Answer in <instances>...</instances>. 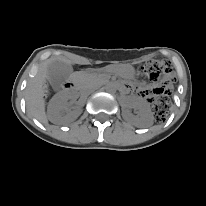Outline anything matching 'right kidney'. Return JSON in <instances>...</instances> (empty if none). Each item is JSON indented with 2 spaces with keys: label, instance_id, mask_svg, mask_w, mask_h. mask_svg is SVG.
Segmentation results:
<instances>
[{
  "label": "right kidney",
  "instance_id": "1",
  "mask_svg": "<svg viewBox=\"0 0 206 206\" xmlns=\"http://www.w3.org/2000/svg\"><path fill=\"white\" fill-rule=\"evenodd\" d=\"M75 94H56L49 102L47 115L53 123L65 124L75 120L79 115V110L72 109L68 100H75Z\"/></svg>",
  "mask_w": 206,
  "mask_h": 206
}]
</instances>
